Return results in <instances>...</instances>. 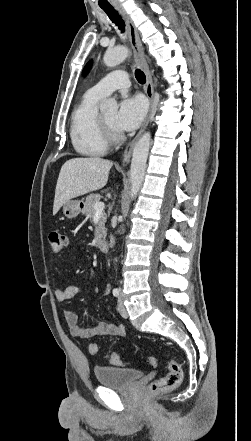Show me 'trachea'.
Masks as SVG:
<instances>
[{"label": "trachea", "mask_w": 251, "mask_h": 441, "mask_svg": "<svg viewBox=\"0 0 251 441\" xmlns=\"http://www.w3.org/2000/svg\"><path fill=\"white\" fill-rule=\"evenodd\" d=\"M105 13L108 15V17L110 18V20L116 24V26H118V28L121 30V32L123 33L125 30V23L122 20L121 16L118 14V12L113 9V8H102ZM135 77L137 79V81L140 84H144L146 82V76L144 74L143 71H141L140 69H136L135 70Z\"/></svg>", "instance_id": "obj_1"}]
</instances>
